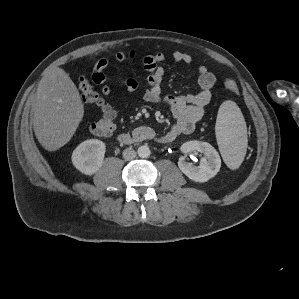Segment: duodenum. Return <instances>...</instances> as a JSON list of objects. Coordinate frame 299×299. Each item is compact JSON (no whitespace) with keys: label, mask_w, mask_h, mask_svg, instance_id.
<instances>
[{"label":"duodenum","mask_w":299,"mask_h":299,"mask_svg":"<svg viewBox=\"0 0 299 299\" xmlns=\"http://www.w3.org/2000/svg\"><path fill=\"white\" fill-rule=\"evenodd\" d=\"M119 141L124 144L133 142H142L145 140L157 139L154 130L147 126L138 127L132 132L122 133L118 137Z\"/></svg>","instance_id":"obj_1"}]
</instances>
